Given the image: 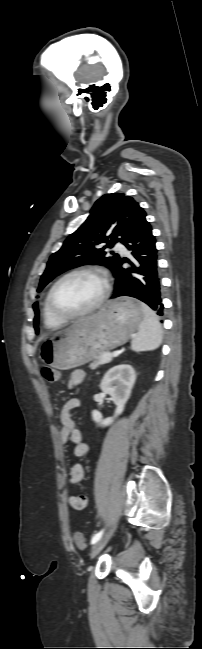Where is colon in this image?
<instances>
[{"label":"colon","mask_w":202,"mask_h":649,"mask_svg":"<svg viewBox=\"0 0 202 649\" xmlns=\"http://www.w3.org/2000/svg\"><path fill=\"white\" fill-rule=\"evenodd\" d=\"M41 375L43 376V378L46 381H48L50 383H55V382L59 381V378H60L59 371L52 368V367H50V366H42L41 367ZM74 542H75L76 546L81 550H85L87 548L86 539L82 535L81 532H76L74 534Z\"/></svg>","instance_id":"colon-1"}]
</instances>
